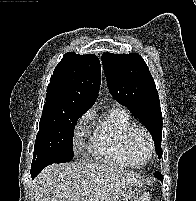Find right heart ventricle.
<instances>
[{"label":"right heart ventricle","mask_w":196,"mask_h":201,"mask_svg":"<svg viewBox=\"0 0 196 201\" xmlns=\"http://www.w3.org/2000/svg\"><path fill=\"white\" fill-rule=\"evenodd\" d=\"M133 125L135 124L127 110L119 107L110 109L92 126L89 139L91 154L102 162L121 168L129 167L125 136Z\"/></svg>","instance_id":"e07e8e85"}]
</instances>
